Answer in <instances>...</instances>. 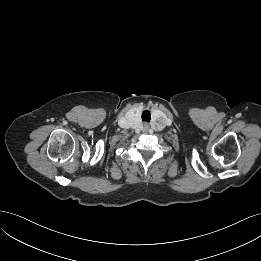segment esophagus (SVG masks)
Segmentation results:
<instances>
[{
	"instance_id": "obj_1",
	"label": "esophagus",
	"mask_w": 261,
	"mask_h": 261,
	"mask_svg": "<svg viewBox=\"0 0 261 261\" xmlns=\"http://www.w3.org/2000/svg\"><path fill=\"white\" fill-rule=\"evenodd\" d=\"M149 129V125L148 124H144V130H148Z\"/></svg>"
}]
</instances>
